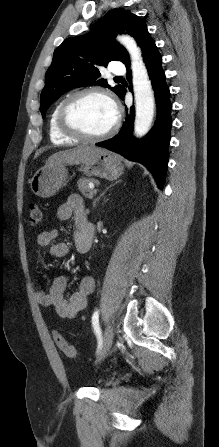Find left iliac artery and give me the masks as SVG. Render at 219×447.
I'll return each instance as SVG.
<instances>
[{
    "mask_svg": "<svg viewBox=\"0 0 219 447\" xmlns=\"http://www.w3.org/2000/svg\"><path fill=\"white\" fill-rule=\"evenodd\" d=\"M92 325L94 328V331L98 338V349L101 348L102 345V335H101V329L99 326V311L96 310L92 316Z\"/></svg>",
    "mask_w": 219,
    "mask_h": 447,
    "instance_id": "1",
    "label": "left iliac artery"
}]
</instances>
